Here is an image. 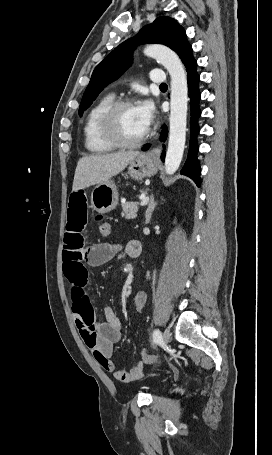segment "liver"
<instances>
[{"mask_svg":"<svg viewBox=\"0 0 272 455\" xmlns=\"http://www.w3.org/2000/svg\"><path fill=\"white\" fill-rule=\"evenodd\" d=\"M139 154L138 151H128L81 158L75 170L72 190L76 192L107 182L111 177L123 171Z\"/></svg>","mask_w":272,"mask_h":455,"instance_id":"1","label":"liver"}]
</instances>
